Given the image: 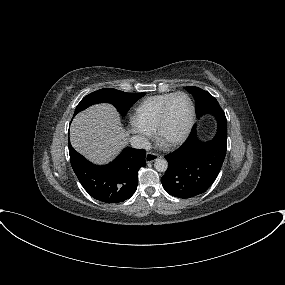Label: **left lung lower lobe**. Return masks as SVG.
Instances as JSON below:
<instances>
[{"instance_id": "left-lung-lower-lobe-1", "label": "left lung lower lobe", "mask_w": 285, "mask_h": 285, "mask_svg": "<svg viewBox=\"0 0 285 285\" xmlns=\"http://www.w3.org/2000/svg\"><path fill=\"white\" fill-rule=\"evenodd\" d=\"M203 114L216 118L218 128L215 137L209 142L200 141L194 125L184 144L165 156L168 169L161 182L172 196L191 198L202 194L220 172L227 150V119L220 106L209 108Z\"/></svg>"}]
</instances>
